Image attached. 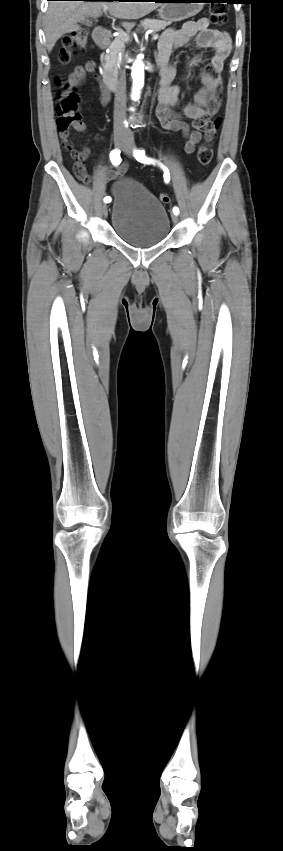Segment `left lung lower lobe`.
Here are the masks:
<instances>
[{
	"label": "left lung lower lobe",
	"instance_id": "obj_1",
	"mask_svg": "<svg viewBox=\"0 0 283 851\" xmlns=\"http://www.w3.org/2000/svg\"><path fill=\"white\" fill-rule=\"evenodd\" d=\"M156 1H158V2H167V1H169V0H156ZM226 3H238V2L229 1V2H226Z\"/></svg>",
	"mask_w": 283,
	"mask_h": 851
}]
</instances>
